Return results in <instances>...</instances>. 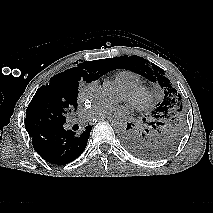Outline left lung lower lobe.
Masks as SVG:
<instances>
[{
    "instance_id": "1",
    "label": "left lung lower lobe",
    "mask_w": 213,
    "mask_h": 213,
    "mask_svg": "<svg viewBox=\"0 0 213 213\" xmlns=\"http://www.w3.org/2000/svg\"><path fill=\"white\" fill-rule=\"evenodd\" d=\"M126 130H127V132L123 136V143L125 146L129 143V141H130L129 139H131V135H132L134 129H132L131 124L128 123Z\"/></svg>"
}]
</instances>
